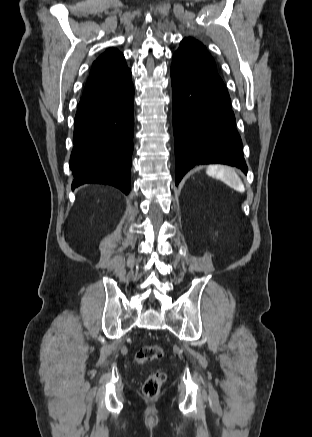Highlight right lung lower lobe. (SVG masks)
Here are the masks:
<instances>
[{"label":"right lung lower lobe","mask_w":312,"mask_h":437,"mask_svg":"<svg viewBox=\"0 0 312 437\" xmlns=\"http://www.w3.org/2000/svg\"><path fill=\"white\" fill-rule=\"evenodd\" d=\"M134 130L131 71L114 87L77 107L70 169L72 189L108 184L130 192Z\"/></svg>","instance_id":"right-lung-lower-lobe-1"}]
</instances>
